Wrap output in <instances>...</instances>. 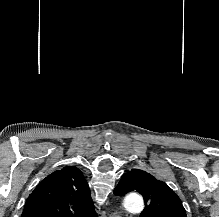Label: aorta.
I'll list each match as a JSON object with an SVG mask.
<instances>
[{
  "instance_id": "1",
  "label": "aorta",
  "mask_w": 219,
  "mask_h": 217,
  "mask_svg": "<svg viewBox=\"0 0 219 217\" xmlns=\"http://www.w3.org/2000/svg\"><path fill=\"white\" fill-rule=\"evenodd\" d=\"M123 206L130 212H140L144 208V202L139 195H129L125 198Z\"/></svg>"
}]
</instances>
